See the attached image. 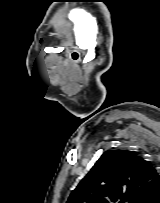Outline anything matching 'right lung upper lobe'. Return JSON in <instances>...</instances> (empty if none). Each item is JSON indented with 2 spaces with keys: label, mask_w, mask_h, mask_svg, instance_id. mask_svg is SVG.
<instances>
[{
  "label": "right lung upper lobe",
  "mask_w": 160,
  "mask_h": 203,
  "mask_svg": "<svg viewBox=\"0 0 160 203\" xmlns=\"http://www.w3.org/2000/svg\"><path fill=\"white\" fill-rule=\"evenodd\" d=\"M160 195V175L128 150H108L71 193L67 203H150Z\"/></svg>",
  "instance_id": "cb5924a9"
}]
</instances>
